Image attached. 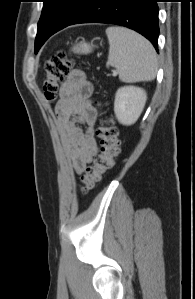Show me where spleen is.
<instances>
[{
    "mask_svg": "<svg viewBox=\"0 0 195 299\" xmlns=\"http://www.w3.org/2000/svg\"><path fill=\"white\" fill-rule=\"evenodd\" d=\"M109 65L115 67L122 82L151 81L158 70L157 54L152 44L125 27H108Z\"/></svg>",
    "mask_w": 195,
    "mask_h": 299,
    "instance_id": "1",
    "label": "spleen"
}]
</instances>
